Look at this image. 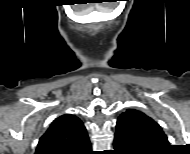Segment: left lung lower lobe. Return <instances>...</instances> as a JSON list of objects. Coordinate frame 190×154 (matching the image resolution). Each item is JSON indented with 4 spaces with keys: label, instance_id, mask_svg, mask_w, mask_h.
Here are the masks:
<instances>
[{
    "label": "left lung lower lobe",
    "instance_id": "1",
    "mask_svg": "<svg viewBox=\"0 0 190 154\" xmlns=\"http://www.w3.org/2000/svg\"><path fill=\"white\" fill-rule=\"evenodd\" d=\"M114 148L123 154H151L165 146H158L143 140L133 130L128 118L118 119Z\"/></svg>",
    "mask_w": 190,
    "mask_h": 154
}]
</instances>
